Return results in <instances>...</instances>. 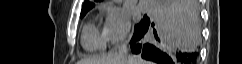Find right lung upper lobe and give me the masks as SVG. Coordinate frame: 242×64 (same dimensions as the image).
<instances>
[{"label":"right lung upper lobe","mask_w":242,"mask_h":64,"mask_svg":"<svg viewBox=\"0 0 242 64\" xmlns=\"http://www.w3.org/2000/svg\"><path fill=\"white\" fill-rule=\"evenodd\" d=\"M95 1H98V0H95ZM92 7H94V4L91 3V2H89L88 0H85L81 12H87V11H89Z\"/></svg>","instance_id":"obj_1"}]
</instances>
